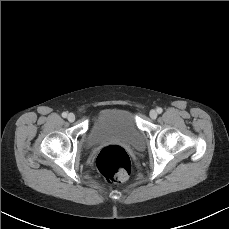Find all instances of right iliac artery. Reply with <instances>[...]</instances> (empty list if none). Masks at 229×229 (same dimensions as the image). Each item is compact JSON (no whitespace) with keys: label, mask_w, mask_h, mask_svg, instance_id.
Wrapping results in <instances>:
<instances>
[{"label":"right iliac artery","mask_w":229,"mask_h":229,"mask_svg":"<svg viewBox=\"0 0 229 229\" xmlns=\"http://www.w3.org/2000/svg\"><path fill=\"white\" fill-rule=\"evenodd\" d=\"M62 117L66 118L67 117V113L66 112H63L62 113Z\"/></svg>","instance_id":"obj_1"}]
</instances>
